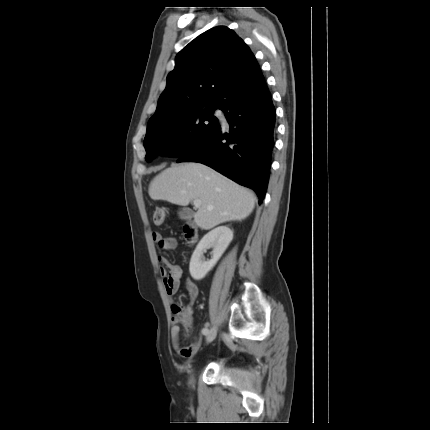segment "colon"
Returning <instances> with one entry per match:
<instances>
[{"mask_svg": "<svg viewBox=\"0 0 430 430\" xmlns=\"http://www.w3.org/2000/svg\"><path fill=\"white\" fill-rule=\"evenodd\" d=\"M153 220L157 225L163 224L165 220V211L162 208H157L153 213ZM171 309L173 316L185 326L189 333H191L192 325L189 318V313L184 310L183 305L180 302H175L172 304Z\"/></svg>", "mask_w": 430, "mask_h": 430, "instance_id": "5ec220e1", "label": "colon"}]
</instances>
